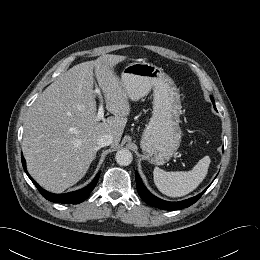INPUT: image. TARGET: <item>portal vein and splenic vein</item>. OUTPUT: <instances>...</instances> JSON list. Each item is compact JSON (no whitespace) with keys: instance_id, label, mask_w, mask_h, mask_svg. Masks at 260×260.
Here are the masks:
<instances>
[{"instance_id":"portal-vein-and-splenic-vein-1","label":"portal vein and splenic vein","mask_w":260,"mask_h":260,"mask_svg":"<svg viewBox=\"0 0 260 260\" xmlns=\"http://www.w3.org/2000/svg\"><path fill=\"white\" fill-rule=\"evenodd\" d=\"M95 93L100 96V90L99 89H96ZM103 116H104V108H103V105L101 103L100 106H99V109H98L97 119L101 120V119H103Z\"/></svg>"}]
</instances>
